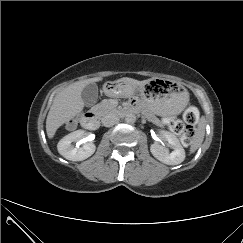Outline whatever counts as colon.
Here are the masks:
<instances>
[{"label": "colon", "mask_w": 243, "mask_h": 243, "mask_svg": "<svg viewBox=\"0 0 243 243\" xmlns=\"http://www.w3.org/2000/svg\"><path fill=\"white\" fill-rule=\"evenodd\" d=\"M199 113L195 107H188L182 116V119L168 118L167 123L171 131L178 135L184 145H189L195 138V125L198 121Z\"/></svg>", "instance_id": "colon-1"}]
</instances>
